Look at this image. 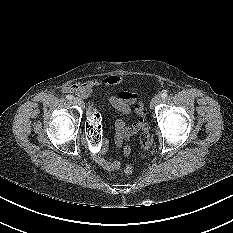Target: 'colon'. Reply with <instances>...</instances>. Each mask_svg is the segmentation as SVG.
I'll return each instance as SVG.
<instances>
[{
  "mask_svg": "<svg viewBox=\"0 0 233 233\" xmlns=\"http://www.w3.org/2000/svg\"><path fill=\"white\" fill-rule=\"evenodd\" d=\"M100 118L101 115L98 111L93 110L89 113L87 120L84 123V127L88 132V149L91 153L96 154L101 149V138H102V130L100 126ZM141 135H140V144L143 149L142 157L145 153L150 149L152 145V138L149 134V125L144 121V119L140 123ZM122 172L125 175H130L132 173V167L126 165Z\"/></svg>",
  "mask_w": 233,
  "mask_h": 233,
  "instance_id": "obj_1",
  "label": "colon"
}]
</instances>
